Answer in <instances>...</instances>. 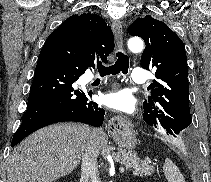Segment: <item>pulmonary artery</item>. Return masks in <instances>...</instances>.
<instances>
[{
  "label": "pulmonary artery",
  "instance_id": "pulmonary-artery-1",
  "mask_svg": "<svg viewBox=\"0 0 211 182\" xmlns=\"http://www.w3.org/2000/svg\"><path fill=\"white\" fill-rule=\"evenodd\" d=\"M147 76L144 69L136 67L132 71V80L138 84H144Z\"/></svg>",
  "mask_w": 211,
  "mask_h": 182
}]
</instances>
